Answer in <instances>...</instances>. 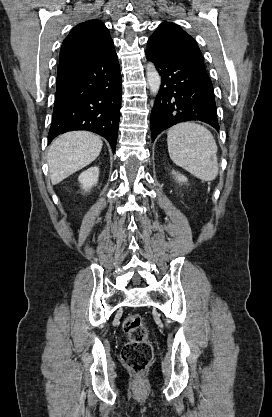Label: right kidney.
Returning a JSON list of instances; mask_svg holds the SVG:
<instances>
[{"mask_svg":"<svg viewBox=\"0 0 272 417\" xmlns=\"http://www.w3.org/2000/svg\"><path fill=\"white\" fill-rule=\"evenodd\" d=\"M99 168L91 167L86 171L82 172L78 178L81 183L82 188L85 191H89L92 186L96 185L98 182Z\"/></svg>","mask_w":272,"mask_h":417,"instance_id":"obj_1","label":"right kidney"}]
</instances>
